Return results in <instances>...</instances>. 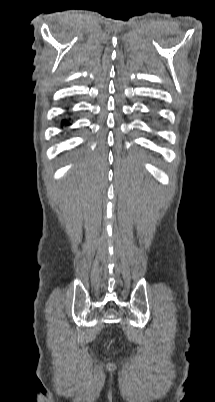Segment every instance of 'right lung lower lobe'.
Masks as SVG:
<instances>
[{"mask_svg":"<svg viewBox=\"0 0 215 402\" xmlns=\"http://www.w3.org/2000/svg\"><path fill=\"white\" fill-rule=\"evenodd\" d=\"M64 124L68 125L69 122H66V121L63 120L62 123H61V125H64Z\"/></svg>","mask_w":215,"mask_h":402,"instance_id":"right-lung-lower-lobe-1","label":"right lung lower lobe"}]
</instances>
